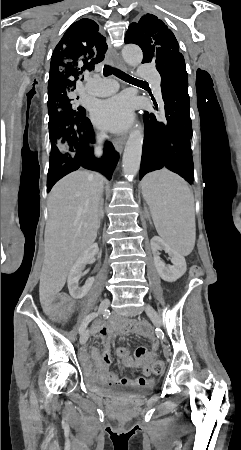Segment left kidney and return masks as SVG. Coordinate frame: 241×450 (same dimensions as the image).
<instances>
[{"mask_svg": "<svg viewBox=\"0 0 241 450\" xmlns=\"http://www.w3.org/2000/svg\"><path fill=\"white\" fill-rule=\"evenodd\" d=\"M150 244L152 254L154 256V264L160 278L165 280V282H176V280H179V278H181V276H183L186 272L185 258L180 256V254H177L175 250H172V248H170L164 240L158 238V236H154ZM158 250H164L166 254H169L173 266H166V264H164L163 260L160 258Z\"/></svg>", "mask_w": 241, "mask_h": 450, "instance_id": "obj_1", "label": "left kidney"}]
</instances>
